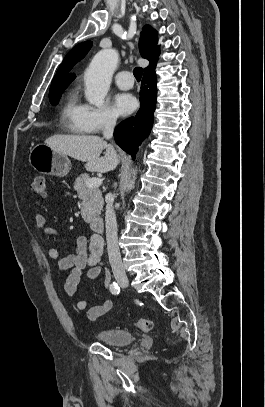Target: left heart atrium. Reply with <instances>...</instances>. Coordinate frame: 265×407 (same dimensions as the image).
I'll use <instances>...</instances> for the list:
<instances>
[{"instance_id":"obj_1","label":"left heart atrium","mask_w":265,"mask_h":407,"mask_svg":"<svg viewBox=\"0 0 265 407\" xmlns=\"http://www.w3.org/2000/svg\"><path fill=\"white\" fill-rule=\"evenodd\" d=\"M114 107L120 115L132 113L137 106L136 99L127 93H120L114 97Z\"/></svg>"}]
</instances>
